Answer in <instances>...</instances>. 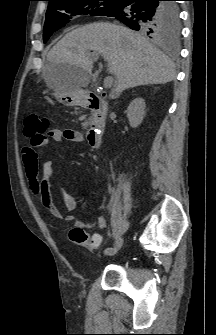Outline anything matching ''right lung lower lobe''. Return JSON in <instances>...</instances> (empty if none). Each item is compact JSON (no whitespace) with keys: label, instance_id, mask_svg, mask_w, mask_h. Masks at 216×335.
Returning <instances> with one entry per match:
<instances>
[{"label":"right lung lower lobe","instance_id":"obj_1","mask_svg":"<svg viewBox=\"0 0 216 335\" xmlns=\"http://www.w3.org/2000/svg\"><path fill=\"white\" fill-rule=\"evenodd\" d=\"M106 16L155 36L180 24L178 7L172 0H120Z\"/></svg>","mask_w":216,"mask_h":335}]
</instances>
